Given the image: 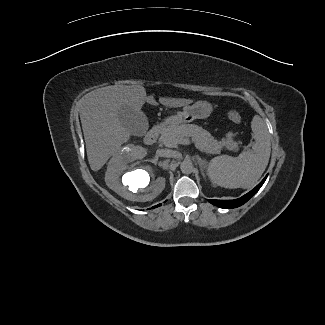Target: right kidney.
Listing matches in <instances>:
<instances>
[{
    "label": "right kidney",
    "mask_w": 325,
    "mask_h": 325,
    "mask_svg": "<svg viewBox=\"0 0 325 325\" xmlns=\"http://www.w3.org/2000/svg\"><path fill=\"white\" fill-rule=\"evenodd\" d=\"M126 170L128 172L122 176ZM105 182L121 197L138 202L156 198L165 188V179L156 177L154 169L128 146L121 148L111 158Z\"/></svg>",
    "instance_id": "1"
}]
</instances>
